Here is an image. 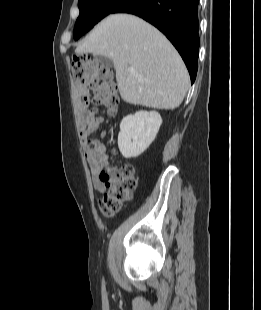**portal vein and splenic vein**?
<instances>
[{
    "label": "portal vein and splenic vein",
    "instance_id": "18ae733b",
    "mask_svg": "<svg viewBox=\"0 0 261 310\" xmlns=\"http://www.w3.org/2000/svg\"><path fill=\"white\" fill-rule=\"evenodd\" d=\"M128 72L131 73V74L135 73V69L130 67V68H128Z\"/></svg>",
    "mask_w": 261,
    "mask_h": 310
}]
</instances>
